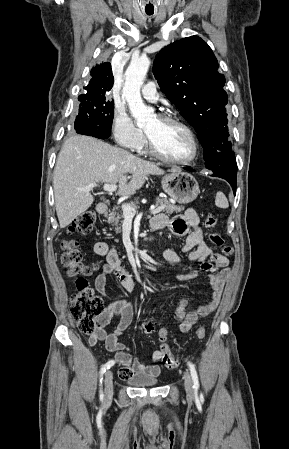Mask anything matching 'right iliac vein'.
<instances>
[{
    "instance_id": "1",
    "label": "right iliac vein",
    "mask_w": 289,
    "mask_h": 449,
    "mask_svg": "<svg viewBox=\"0 0 289 449\" xmlns=\"http://www.w3.org/2000/svg\"><path fill=\"white\" fill-rule=\"evenodd\" d=\"M105 392H104V402L108 403L113 396V373L111 370H108L105 374Z\"/></svg>"
}]
</instances>
